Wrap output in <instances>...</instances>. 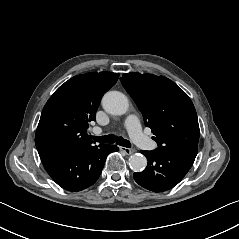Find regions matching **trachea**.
I'll use <instances>...</instances> for the list:
<instances>
[{"instance_id": "obj_1", "label": "trachea", "mask_w": 239, "mask_h": 239, "mask_svg": "<svg viewBox=\"0 0 239 239\" xmlns=\"http://www.w3.org/2000/svg\"><path fill=\"white\" fill-rule=\"evenodd\" d=\"M96 142L99 143H114L116 142L117 145L122 147H131V143L129 140H126L122 137H115L114 135H105V136H93L92 137Z\"/></svg>"}]
</instances>
